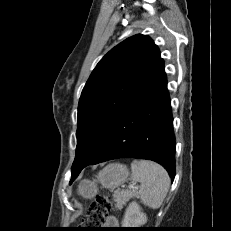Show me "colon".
<instances>
[{
  "mask_svg": "<svg viewBox=\"0 0 231 231\" xmlns=\"http://www.w3.org/2000/svg\"><path fill=\"white\" fill-rule=\"evenodd\" d=\"M113 201L107 194L98 195L92 203L83 223L89 227H98L105 222V217L112 209Z\"/></svg>",
  "mask_w": 231,
  "mask_h": 231,
  "instance_id": "colon-1",
  "label": "colon"
}]
</instances>
